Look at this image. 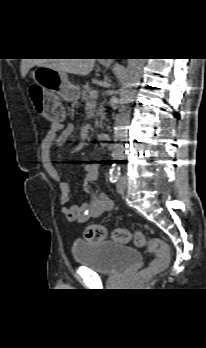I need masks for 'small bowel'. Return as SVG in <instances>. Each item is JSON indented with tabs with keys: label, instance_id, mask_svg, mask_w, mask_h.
<instances>
[{
	"label": "small bowel",
	"instance_id": "small-bowel-1",
	"mask_svg": "<svg viewBox=\"0 0 206 348\" xmlns=\"http://www.w3.org/2000/svg\"><path fill=\"white\" fill-rule=\"evenodd\" d=\"M73 132L72 124H52L41 143V161L47 174L54 181L59 182L60 203L63 205L62 213L70 221L85 222L97 218L103 213L110 211L113 207L112 201L104 194L91 195L88 202L80 206L67 207L70 198V187L67 183L60 181V175L51 162L53 148L64 144ZM86 176L83 182V189L89 192L91 183L99 180V166L96 164L85 165Z\"/></svg>",
	"mask_w": 206,
	"mask_h": 348
}]
</instances>
